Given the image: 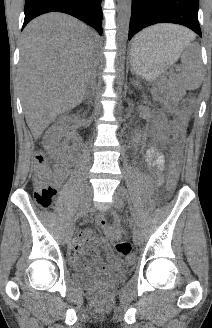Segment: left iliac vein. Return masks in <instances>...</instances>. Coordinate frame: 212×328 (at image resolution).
Instances as JSON below:
<instances>
[{
	"label": "left iliac vein",
	"instance_id": "1",
	"mask_svg": "<svg viewBox=\"0 0 212 328\" xmlns=\"http://www.w3.org/2000/svg\"><path fill=\"white\" fill-rule=\"evenodd\" d=\"M121 189H117L114 194L113 204L118 210L123 209L124 199ZM133 241L136 245H140L142 242V237L140 231L134 226L133 227Z\"/></svg>",
	"mask_w": 212,
	"mask_h": 328
}]
</instances>
